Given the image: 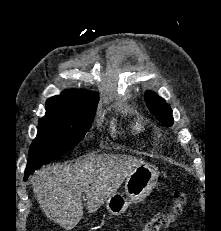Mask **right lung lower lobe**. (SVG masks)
I'll use <instances>...</instances> for the list:
<instances>
[{
  "label": "right lung lower lobe",
  "instance_id": "right-lung-lower-lobe-1",
  "mask_svg": "<svg viewBox=\"0 0 221 231\" xmlns=\"http://www.w3.org/2000/svg\"><path fill=\"white\" fill-rule=\"evenodd\" d=\"M36 169L26 170L24 175V180H27V178L32 174Z\"/></svg>",
  "mask_w": 221,
  "mask_h": 231
}]
</instances>
